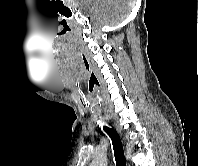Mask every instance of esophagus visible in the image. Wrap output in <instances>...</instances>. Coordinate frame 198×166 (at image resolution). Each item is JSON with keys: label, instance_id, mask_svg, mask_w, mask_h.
Wrapping results in <instances>:
<instances>
[{"label": "esophagus", "instance_id": "34e87169", "mask_svg": "<svg viewBox=\"0 0 198 166\" xmlns=\"http://www.w3.org/2000/svg\"><path fill=\"white\" fill-rule=\"evenodd\" d=\"M115 127L121 133V129L119 128V126L115 125Z\"/></svg>", "mask_w": 198, "mask_h": 166}]
</instances>
